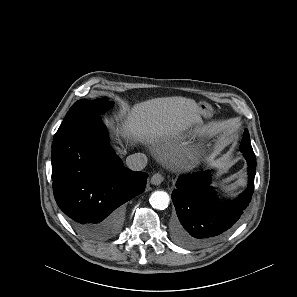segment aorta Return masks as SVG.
<instances>
[{
  "mask_svg": "<svg viewBox=\"0 0 297 297\" xmlns=\"http://www.w3.org/2000/svg\"><path fill=\"white\" fill-rule=\"evenodd\" d=\"M149 201L154 209L164 210L168 207L170 198L165 191H155L151 194Z\"/></svg>",
  "mask_w": 297,
  "mask_h": 297,
  "instance_id": "obj_1",
  "label": "aorta"
}]
</instances>
